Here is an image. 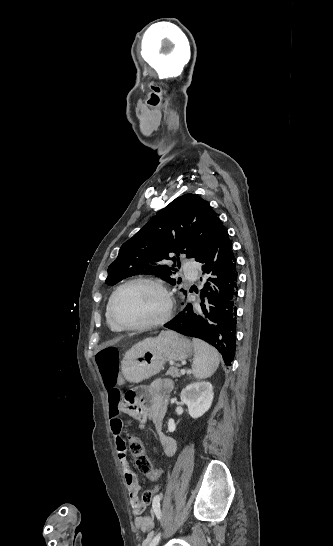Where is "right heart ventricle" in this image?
<instances>
[{"label":"right heart ventricle","mask_w":333,"mask_h":546,"mask_svg":"<svg viewBox=\"0 0 333 546\" xmlns=\"http://www.w3.org/2000/svg\"><path fill=\"white\" fill-rule=\"evenodd\" d=\"M108 304H109V301L107 303V306H106V321H107V325L109 326L110 330L113 331V332H119L120 330L118 328H116L114 326V324L112 323L110 317H109V312H108Z\"/></svg>","instance_id":"obj_1"}]
</instances>
